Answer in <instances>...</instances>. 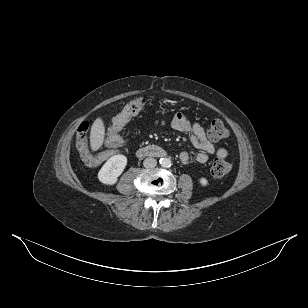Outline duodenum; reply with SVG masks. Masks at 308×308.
<instances>
[{"mask_svg": "<svg viewBox=\"0 0 308 308\" xmlns=\"http://www.w3.org/2000/svg\"><path fill=\"white\" fill-rule=\"evenodd\" d=\"M138 157H164L166 156V151L156 145L142 147L137 151Z\"/></svg>", "mask_w": 308, "mask_h": 308, "instance_id": "1", "label": "duodenum"}]
</instances>
